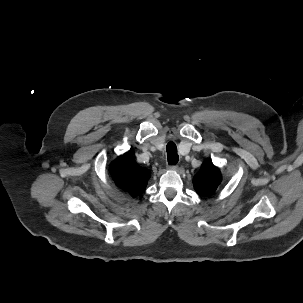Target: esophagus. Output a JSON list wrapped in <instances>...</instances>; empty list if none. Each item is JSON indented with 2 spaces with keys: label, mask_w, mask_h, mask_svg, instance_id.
<instances>
[{
  "label": "esophagus",
  "mask_w": 303,
  "mask_h": 303,
  "mask_svg": "<svg viewBox=\"0 0 303 303\" xmlns=\"http://www.w3.org/2000/svg\"><path fill=\"white\" fill-rule=\"evenodd\" d=\"M169 169L177 171L179 167L177 165H170Z\"/></svg>",
  "instance_id": "34e87169"
}]
</instances>
